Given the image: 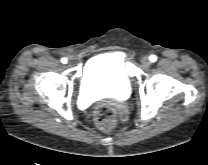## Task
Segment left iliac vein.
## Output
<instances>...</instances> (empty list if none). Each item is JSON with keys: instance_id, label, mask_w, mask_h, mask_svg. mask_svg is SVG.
<instances>
[{"instance_id": "1", "label": "left iliac vein", "mask_w": 208, "mask_h": 165, "mask_svg": "<svg viewBox=\"0 0 208 165\" xmlns=\"http://www.w3.org/2000/svg\"><path fill=\"white\" fill-rule=\"evenodd\" d=\"M142 64H143V66H145V67H149V66L151 65V62H150V60H149L148 57H143V59H142Z\"/></svg>"}]
</instances>
